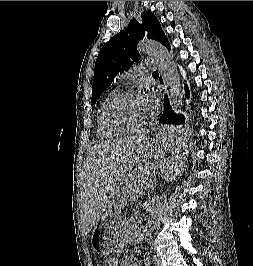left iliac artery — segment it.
<instances>
[{"label": "left iliac artery", "instance_id": "44dca946", "mask_svg": "<svg viewBox=\"0 0 253 266\" xmlns=\"http://www.w3.org/2000/svg\"><path fill=\"white\" fill-rule=\"evenodd\" d=\"M152 261H153L155 264H157V263H158V259H157V257H156V256H152Z\"/></svg>", "mask_w": 253, "mask_h": 266}]
</instances>
